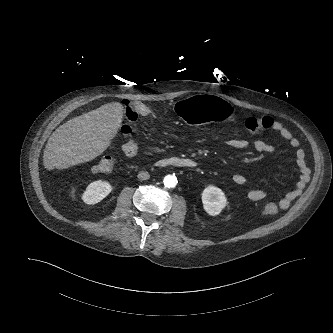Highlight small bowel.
Instances as JSON below:
<instances>
[{"mask_svg": "<svg viewBox=\"0 0 333 333\" xmlns=\"http://www.w3.org/2000/svg\"><path fill=\"white\" fill-rule=\"evenodd\" d=\"M136 106H141L136 104ZM273 131L279 133L283 139L287 141L289 146L295 151L296 163L299 169V179L295 187L284 194L279 200V206L282 209L288 208L293 200L298 197L307 181L308 176V167L306 165V157L304 150L300 147L299 140L292 134V132L278 120L272 119V125L270 127ZM225 145L231 149L242 150V151H256L260 153H270L274 151V146L262 139H229L225 141ZM124 151L127 155H135L138 151V144L135 142H129L124 146ZM232 181L237 185H244L247 182V179L244 175L240 173H235L232 175ZM247 198L252 201H260L267 198L268 194L264 190L252 189L248 190Z\"/></svg>", "mask_w": 333, "mask_h": 333, "instance_id": "obj_1", "label": "small bowel"}]
</instances>
